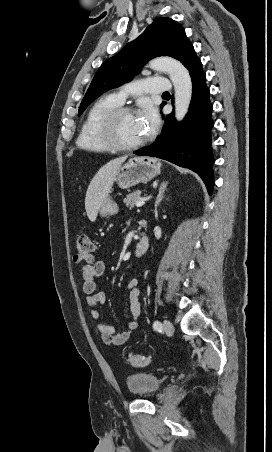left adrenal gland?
<instances>
[{"label":"left adrenal gland","mask_w":272,"mask_h":452,"mask_svg":"<svg viewBox=\"0 0 272 452\" xmlns=\"http://www.w3.org/2000/svg\"><path fill=\"white\" fill-rule=\"evenodd\" d=\"M167 186H168V182L167 181H163L160 184L159 192H158V195H157V198H156V202H155V207H158L159 204L161 203V201H162V199L164 197V194H165Z\"/></svg>","instance_id":"obj_1"}]
</instances>
